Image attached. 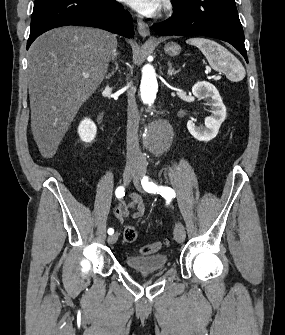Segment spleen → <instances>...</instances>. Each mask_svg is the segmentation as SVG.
<instances>
[{
    "label": "spleen",
    "instance_id": "3e777b00",
    "mask_svg": "<svg viewBox=\"0 0 285 335\" xmlns=\"http://www.w3.org/2000/svg\"><path fill=\"white\" fill-rule=\"evenodd\" d=\"M186 44H190V46H197L199 50H201L202 54H204L205 58H207L211 68L216 70L218 62H221L223 58H226L225 64L223 66H227V62L231 60L232 54H229L223 46H219L213 40H205V38H190V40H186ZM240 66V64H237Z\"/></svg>",
    "mask_w": 285,
    "mask_h": 335
}]
</instances>
